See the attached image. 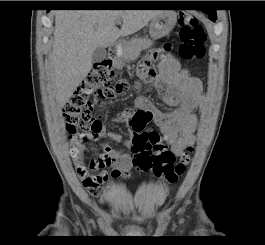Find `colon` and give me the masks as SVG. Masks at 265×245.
Instances as JSON below:
<instances>
[{
  "label": "colon",
  "instance_id": "5ec220e1",
  "mask_svg": "<svg viewBox=\"0 0 265 245\" xmlns=\"http://www.w3.org/2000/svg\"><path fill=\"white\" fill-rule=\"evenodd\" d=\"M180 57L184 60L200 59L205 54L206 36L198 20L186 12L178 17ZM138 75L144 82L156 78L147 63H141ZM129 88L128 78L116 75L110 60L95 63L85 80L74 91L63 108L69 137L80 144L86 142L91 133L101 129L100 121L92 114L94 106L104 100H111ZM150 117L138 110L129 124L132 129L133 166L140 172H152L163 176L169 183H176L186 173L191 163L193 147H188L176 162V155L163 143L161 136L147 129ZM81 149L75 152L76 155Z\"/></svg>",
  "mask_w": 265,
  "mask_h": 245
}]
</instances>
